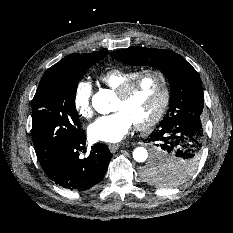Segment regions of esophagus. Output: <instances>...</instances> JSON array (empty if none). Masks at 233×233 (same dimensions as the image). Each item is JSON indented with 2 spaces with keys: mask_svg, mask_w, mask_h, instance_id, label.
<instances>
[{
  "mask_svg": "<svg viewBox=\"0 0 233 233\" xmlns=\"http://www.w3.org/2000/svg\"><path fill=\"white\" fill-rule=\"evenodd\" d=\"M120 144H109V149L111 152H116L120 148Z\"/></svg>",
  "mask_w": 233,
  "mask_h": 233,
  "instance_id": "1",
  "label": "esophagus"
}]
</instances>
